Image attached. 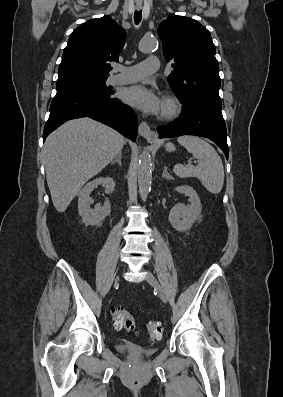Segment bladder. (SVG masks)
I'll list each match as a JSON object with an SVG mask.
<instances>
[{"label":"bladder","mask_w":283,"mask_h":397,"mask_svg":"<svg viewBox=\"0 0 283 397\" xmlns=\"http://www.w3.org/2000/svg\"><path fill=\"white\" fill-rule=\"evenodd\" d=\"M119 352L124 354H134L141 357H148L155 353L156 349L153 347H142L129 341H120L116 344Z\"/></svg>","instance_id":"1"}]
</instances>
